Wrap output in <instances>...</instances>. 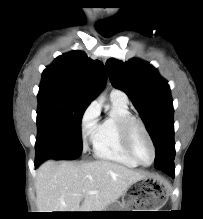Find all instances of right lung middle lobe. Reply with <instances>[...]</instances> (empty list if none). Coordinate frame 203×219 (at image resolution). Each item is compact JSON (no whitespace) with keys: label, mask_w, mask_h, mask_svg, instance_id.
<instances>
[{"label":"right lung middle lobe","mask_w":203,"mask_h":219,"mask_svg":"<svg viewBox=\"0 0 203 219\" xmlns=\"http://www.w3.org/2000/svg\"><path fill=\"white\" fill-rule=\"evenodd\" d=\"M36 159H76L82 152L81 119L90 102L52 90L38 93Z\"/></svg>","instance_id":"dd1d6c3e"}]
</instances>
